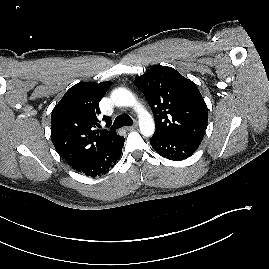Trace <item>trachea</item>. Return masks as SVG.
Returning a JSON list of instances; mask_svg holds the SVG:
<instances>
[{
	"mask_svg": "<svg viewBox=\"0 0 269 269\" xmlns=\"http://www.w3.org/2000/svg\"><path fill=\"white\" fill-rule=\"evenodd\" d=\"M132 124H133L132 118L127 114H122L116 117L113 125L111 126V129L115 130L123 126H130Z\"/></svg>",
	"mask_w": 269,
	"mask_h": 269,
	"instance_id": "3493384b",
	"label": "trachea"
}]
</instances>
